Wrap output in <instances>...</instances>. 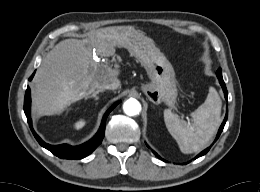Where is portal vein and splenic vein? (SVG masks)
<instances>
[{
  "instance_id": "obj_1",
  "label": "portal vein and splenic vein",
  "mask_w": 260,
  "mask_h": 192,
  "mask_svg": "<svg viewBox=\"0 0 260 192\" xmlns=\"http://www.w3.org/2000/svg\"><path fill=\"white\" fill-rule=\"evenodd\" d=\"M113 74H117V72L114 71Z\"/></svg>"
}]
</instances>
